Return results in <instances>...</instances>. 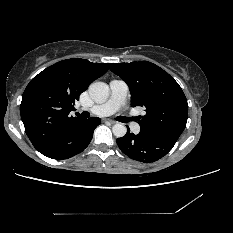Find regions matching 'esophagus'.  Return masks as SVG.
I'll return each instance as SVG.
<instances>
[{
	"mask_svg": "<svg viewBox=\"0 0 233 233\" xmlns=\"http://www.w3.org/2000/svg\"><path fill=\"white\" fill-rule=\"evenodd\" d=\"M105 121H106V122H110V123H112V124L115 123V121H114V120H111V119H105Z\"/></svg>",
	"mask_w": 233,
	"mask_h": 233,
	"instance_id": "34e87169",
	"label": "esophagus"
}]
</instances>
